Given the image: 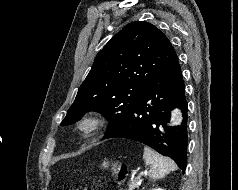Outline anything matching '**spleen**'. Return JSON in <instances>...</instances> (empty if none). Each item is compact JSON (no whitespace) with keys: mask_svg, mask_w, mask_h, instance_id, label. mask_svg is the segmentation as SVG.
<instances>
[{"mask_svg":"<svg viewBox=\"0 0 238 190\" xmlns=\"http://www.w3.org/2000/svg\"><path fill=\"white\" fill-rule=\"evenodd\" d=\"M143 158L150 165L148 176L152 180L161 179L177 168L173 160L163 157L149 147H144Z\"/></svg>","mask_w":238,"mask_h":190,"instance_id":"3e777b00","label":"spleen"}]
</instances>
